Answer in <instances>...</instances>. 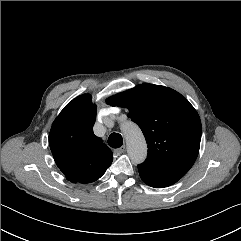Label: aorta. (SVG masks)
I'll list each match as a JSON object with an SVG mask.
<instances>
[{
    "label": "aorta",
    "mask_w": 241,
    "mask_h": 241,
    "mask_svg": "<svg viewBox=\"0 0 241 241\" xmlns=\"http://www.w3.org/2000/svg\"><path fill=\"white\" fill-rule=\"evenodd\" d=\"M127 144V152L133 163H142L147 156V144L140 128L133 122L121 127Z\"/></svg>",
    "instance_id": "1"
}]
</instances>
